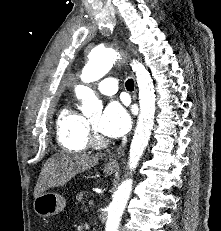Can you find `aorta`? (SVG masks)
I'll return each mask as SVG.
<instances>
[{"label": "aorta", "instance_id": "762f6f07", "mask_svg": "<svg viewBox=\"0 0 221 231\" xmlns=\"http://www.w3.org/2000/svg\"><path fill=\"white\" fill-rule=\"evenodd\" d=\"M89 61L84 67L81 80L92 83L105 76L113 64L122 60L121 54L112 48H94L89 54ZM136 74L139 89L140 113L130 146L129 168L135 170L150 139L155 118V89L148 70L138 61L131 63ZM76 97L82 100V111L88 114L102 107L101 102L89 87H75ZM132 179H126L119 185L109 205L105 231H118L121 217L132 191Z\"/></svg>", "mask_w": 221, "mask_h": 231}]
</instances>
